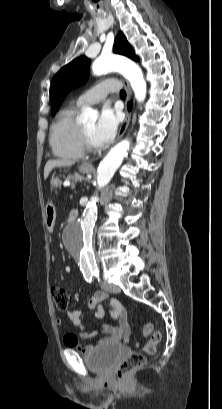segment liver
Segmentation results:
<instances>
[{
    "instance_id": "liver-1",
    "label": "liver",
    "mask_w": 222,
    "mask_h": 409,
    "mask_svg": "<svg viewBox=\"0 0 222 409\" xmlns=\"http://www.w3.org/2000/svg\"><path fill=\"white\" fill-rule=\"evenodd\" d=\"M75 162L71 160H66V159H57V160H49L47 161L45 167H44V179H47L49 176V173L54 169L55 167H67V166H72Z\"/></svg>"
}]
</instances>
